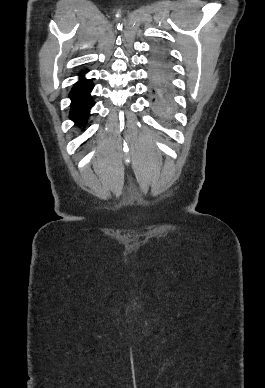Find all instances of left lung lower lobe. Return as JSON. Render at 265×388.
<instances>
[{"instance_id":"left-lung-lower-lobe-1","label":"left lung lower lobe","mask_w":265,"mask_h":388,"mask_svg":"<svg viewBox=\"0 0 265 388\" xmlns=\"http://www.w3.org/2000/svg\"><path fill=\"white\" fill-rule=\"evenodd\" d=\"M155 111L166 118L171 111L170 72L153 66L151 86Z\"/></svg>"}]
</instances>
